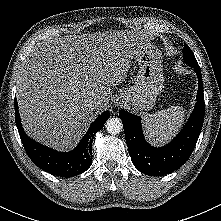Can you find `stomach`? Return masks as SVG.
<instances>
[{
    "label": "stomach",
    "instance_id": "1",
    "mask_svg": "<svg viewBox=\"0 0 221 221\" xmlns=\"http://www.w3.org/2000/svg\"><path fill=\"white\" fill-rule=\"evenodd\" d=\"M139 65L134 85L117 97L118 104H126L136 111L150 110L164 88L160 50L148 42L136 52Z\"/></svg>",
    "mask_w": 221,
    "mask_h": 221
}]
</instances>
